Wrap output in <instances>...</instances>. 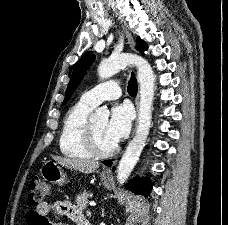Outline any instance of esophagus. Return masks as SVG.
Masks as SVG:
<instances>
[{"mask_svg":"<svg viewBox=\"0 0 228 225\" xmlns=\"http://www.w3.org/2000/svg\"><path fill=\"white\" fill-rule=\"evenodd\" d=\"M121 27H122L125 35H126L128 46L131 48V50H134L135 43H134V39H133L132 35L125 29V27L123 25H121ZM135 105H136V112L138 113V107H139V91H138L137 97L135 99ZM136 125H137V118H136V122H135V126ZM133 135H134V131L132 132V136ZM102 174L105 177H112V171L109 168H104L103 171H102Z\"/></svg>","mask_w":228,"mask_h":225,"instance_id":"34e87169","label":"esophagus"}]
</instances>
